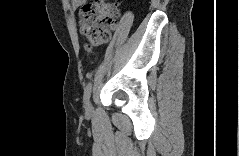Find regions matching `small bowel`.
Returning a JSON list of instances; mask_svg holds the SVG:
<instances>
[{
  "label": "small bowel",
  "instance_id": "c3829d8e",
  "mask_svg": "<svg viewBox=\"0 0 239 156\" xmlns=\"http://www.w3.org/2000/svg\"><path fill=\"white\" fill-rule=\"evenodd\" d=\"M81 3H82V0H73V1L71 2V7H72L73 9H76Z\"/></svg>",
  "mask_w": 239,
  "mask_h": 156
}]
</instances>
